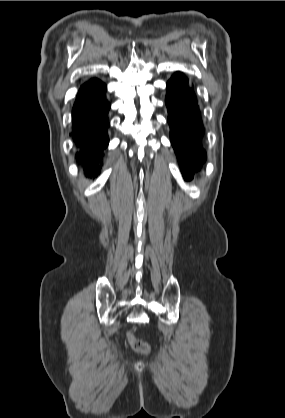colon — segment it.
<instances>
[{"instance_id":"1","label":"colon","mask_w":285,"mask_h":418,"mask_svg":"<svg viewBox=\"0 0 285 418\" xmlns=\"http://www.w3.org/2000/svg\"><path fill=\"white\" fill-rule=\"evenodd\" d=\"M126 337L127 341L134 350L143 353L149 351V344L144 339L136 337L131 331L127 332Z\"/></svg>"}]
</instances>
